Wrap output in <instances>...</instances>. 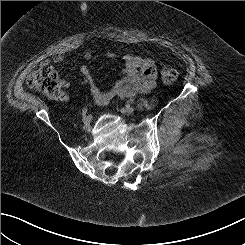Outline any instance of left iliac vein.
<instances>
[{
    "instance_id": "4c4485c4",
    "label": "left iliac vein",
    "mask_w": 245,
    "mask_h": 245,
    "mask_svg": "<svg viewBox=\"0 0 245 245\" xmlns=\"http://www.w3.org/2000/svg\"><path fill=\"white\" fill-rule=\"evenodd\" d=\"M134 111L135 109L130 105H126L124 108L121 109V112L125 114H133Z\"/></svg>"
}]
</instances>
